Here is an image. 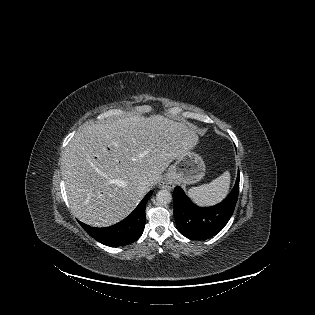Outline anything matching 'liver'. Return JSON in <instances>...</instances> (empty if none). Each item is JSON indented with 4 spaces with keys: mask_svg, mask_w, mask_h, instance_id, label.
<instances>
[{
    "mask_svg": "<svg viewBox=\"0 0 315 315\" xmlns=\"http://www.w3.org/2000/svg\"><path fill=\"white\" fill-rule=\"evenodd\" d=\"M147 109V108H145ZM198 144L196 131L161 115H133L79 129L68 144L61 174L73 215L94 226L128 216L169 164Z\"/></svg>",
    "mask_w": 315,
    "mask_h": 315,
    "instance_id": "obj_1",
    "label": "liver"
}]
</instances>
